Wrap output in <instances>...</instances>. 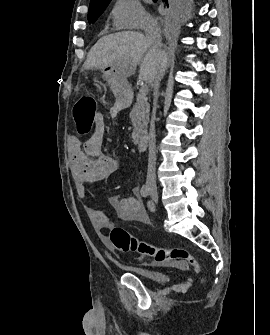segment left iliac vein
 I'll list each match as a JSON object with an SVG mask.
<instances>
[{"instance_id": "left-iliac-vein-1", "label": "left iliac vein", "mask_w": 270, "mask_h": 335, "mask_svg": "<svg viewBox=\"0 0 270 335\" xmlns=\"http://www.w3.org/2000/svg\"><path fill=\"white\" fill-rule=\"evenodd\" d=\"M152 199L156 203L158 201V196L152 194ZM153 210H154V205H153Z\"/></svg>"}]
</instances>
